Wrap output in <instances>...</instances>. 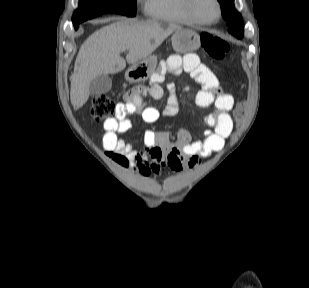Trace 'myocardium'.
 <instances>
[{
  "label": "myocardium",
  "mask_w": 309,
  "mask_h": 288,
  "mask_svg": "<svg viewBox=\"0 0 309 288\" xmlns=\"http://www.w3.org/2000/svg\"><path fill=\"white\" fill-rule=\"evenodd\" d=\"M216 5H217V8H218V17L216 20L214 21H205V20H202L196 13L195 11V6H194V3H195V0H185V10H186V13L188 14V16L191 18V20L197 24V25H201V26H211V25H215L217 24L222 16H223V7H222V4H221V1L220 0H214Z\"/></svg>",
  "instance_id": "1"
}]
</instances>
